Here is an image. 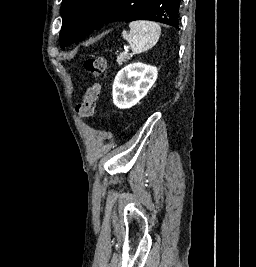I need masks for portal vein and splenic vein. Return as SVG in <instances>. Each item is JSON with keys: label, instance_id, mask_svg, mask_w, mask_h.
Segmentation results:
<instances>
[{"label": "portal vein and splenic vein", "instance_id": "1", "mask_svg": "<svg viewBox=\"0 0 256 267\" xmlns=\"http://www.w3.org/2000/svg\"><path fill=\"white\" fill-rule=\"evenodd\" d=\"M133 52H134V49L133 48H130L129 51L126 52V55L127 56H130L131 53H133Z\"/></svg>", "mask_w": 256, "mask_h": 267}]
</instances>
